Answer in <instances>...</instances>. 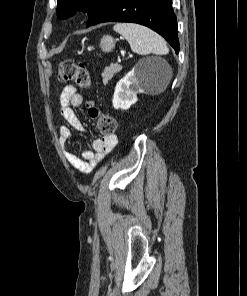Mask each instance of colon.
Returning a JSON list of instances; mask_svg holds the SVG:
<instances>
[{
    "label": "colon",
    "instance_id": "colon-1",
    "mask_svg": "<svg viewBox=\"0 0 247 296\" xmlns=\"http://www.w3.org/2000/svg\"><path fill=\"white\" fill-rule=\"evenodd\" d=\"M58 78L61 82H70L80 88L89 89L91 86L90 73L85 64L64 60L59 64ZM89 116L96 121L97 128L103 137H111L116 130V121L104 113L93 101H89Z\"/></svg>",
    "mask_w": 247,
    "mask_h": 296
}]
</instances>
